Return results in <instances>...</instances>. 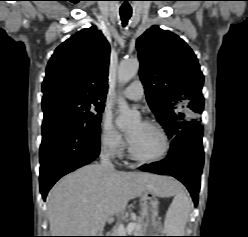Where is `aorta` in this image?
<instances>
[{
	"label": "aorta",
	"instance_id": "aorta-1",
	"mask_svg": "<svg viewBox=\"0 0 248 237\" xmlns=\"http://www.w3.org/2000/svg\"><path fill=\"white\" fill-rule=\"evenodd\" d=\"M139 70V61L137 58L123 60L118 70L119 82L125 84L129 82ZM119 115L116 124L120 128H125L136 122L140 115L139 112L131 110L123 97L117 99Z\"/></svg>",
	"mask_w": 248,
	"mask_h": 237
}]
</instances>
